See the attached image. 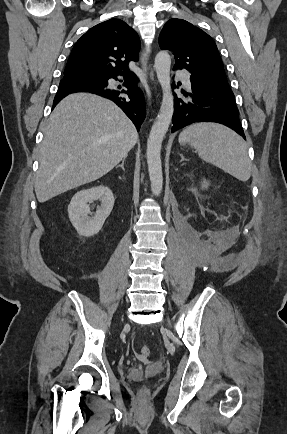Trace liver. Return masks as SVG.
<instances>
[{
	"instance_id": "1",
	"label": "liver",
	"mask_w": 287,
	"mask_h": 434,
	"mask_svg": "<svg viewBox=\"0 0 287 434\" xmlns=\"http://www.w3.org/2000/svg\"><path fill=\"white\" fill-rule=\"evenodd\" d=\"M137 141L135 126L115 103L89 93L68 95L44 130L34 184L38 201L101 178Z\"/></svg>"
}]
</instances>
